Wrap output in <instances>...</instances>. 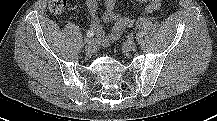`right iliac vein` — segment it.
Masks as SVG:
<instances>
[{"label":"right iliac vein","mask_w":217,"mask_h":121,"mask_svg":"<svg viewBox=\"0 0 217 121\" xmlns=\"http://www.w3.org/2000/svg\"><path fill=\"white\" fill-rule=\"evenodd\" d=\"M85 51L87 54H92L95 51V46L93 44H86Z\"/></svg>","instance_id":"63e3f726"}]
</instances>
